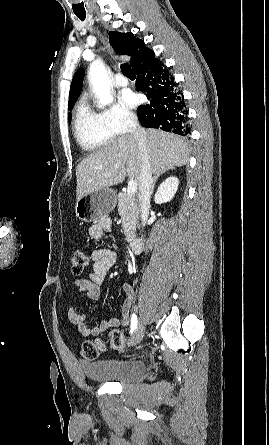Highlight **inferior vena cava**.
<instances>
[{
    "mask_svg": "<svg viewBox=\"0 0 269 445\" xmlns=\"http://www.w3.org/2000/svg\"><path fill=\"white\" fill-rule=\"evenodd\" d=\"M129 131L137 139L141 155V175L139 182V202L141 207L142 226H145L150 208L151 186L153 182L150 157L147 150L145 130L140 127L136 118H130Z\"/></svg>",
    "mask_w": 269,
    "mask_h": 445,
    "instance_id": "1",
    "label": "inferior vena cava"
}]
</instances>
